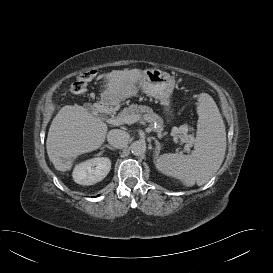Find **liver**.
Segmentation results:
<instances>
[{
  "instance_id": "liver-1",
  "label": "liver",
  "mask_w": 273,
  "mask_h": 273,
  "mask_svg": "<svg viewBox=\"0 0 273 273\" xmlns=\"http://www.w3.org/2000/svg\"><path fill=\"white\" fill-rule=\"evenodd\" d=\"M143 70L112 71L105 75V90L118 95L141 79ZM108 127L84 106L66 105L54 117L46 141L47 154L56 170L72 168L75 158L98 149L105 141Z\"/></svg>"
}]
</instances>
